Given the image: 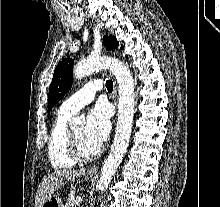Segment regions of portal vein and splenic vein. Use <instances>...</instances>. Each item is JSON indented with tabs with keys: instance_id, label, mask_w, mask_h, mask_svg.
<instances>
[{
	"instance_id": "18ae733b",
	"label": "portal vein and splenic vein",
	"mask_w": 220,
	"mask_h": 207,
	"mask_svg": "<svg viewBox=\"0 0 220 207\" xmlns=\"http://www.w3.org/2000/svg\"><path fill=\"white\" fill-rule=\"evenodd\" d=\"M82 202V198L81 197H77L75 200V204H80Z\"/></svg>"
}]
</instances>
